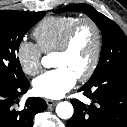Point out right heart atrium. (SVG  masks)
Masks as SVG:
<instances>
[{
	"mask_svg": "<svg viewBox=\"0 0 127 127\" xmlns=\"http://www.w3.org/2000/svg\"><path fill=\"white\" fill-rule=\"evenodd\" d=\"M17 60L27 75L36 76L42 70V52L38 45L27 41L21 40L16 48Z\"/></svg>",
	"mask_w": 127,
	"mask_h": 127,
	"instance_id": "right-heart-atrium-1",
	"label": "right heart atrium"
}]
</instances>
